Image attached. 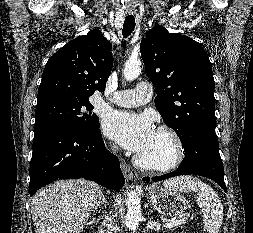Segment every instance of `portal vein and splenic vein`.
Returning a JSON list of instances; mask_svg holds the SVG:
<instances>
[{
    "instance_id": "obj_1",
    "label": "portal vein and splenic vein",
    "mask_w": 253,
    "mask_h": 233,
    "mask_svg": "<svg viewBox=\"0 0 253 233\" xmlns=\"http://www.w3.org/2000/svg\"><path fill=\"white\" fill-rule=\"evenodd\" d=\"M188 218H182V219H177L174 221H171L169 223H166L165 225H163L165 228H171V227H176L178 225H181L183 223H186Z\"/></svg>"
}]
</instances>
